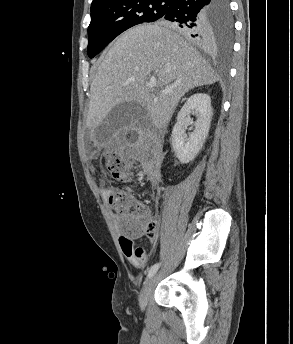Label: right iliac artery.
I'll return each instance as SVG.
<instances>
[{
    "mask_svg": "<svg viewBox=\"0 0 293 344\" xmlns=\"http://www.w3.org/2000/svg\"><path fill=\"white\" fill-rule=\"evenodd\" d=\"M159 265V263H156L149 269L147 279L151 278L157 272Z\"/></svg>",
    "mask_w": 293,
    "mask_h": 344,
    "instance_id": "obj_1",
    "label": "right iliac artery"
}]
</instances>
